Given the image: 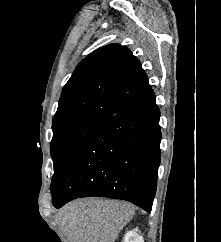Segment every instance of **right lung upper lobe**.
<instances>
[{
	"instance_id": "1",
	"label": "right lung upper lobe",
	"mask_w": 221,
	"mask_h": 242,
	"mask_svg": "<svg viewBox=\"0 0 221 242\" xmlns=\"http://www.w3.org/2000/svg\"><path fill=\"white\" fill-rule=\"evenodd\" d=\"M149 89L146 73L127 47H101L78 64L64 86L52 128L105 121Z\"/></svg>"
}]
</instances>
